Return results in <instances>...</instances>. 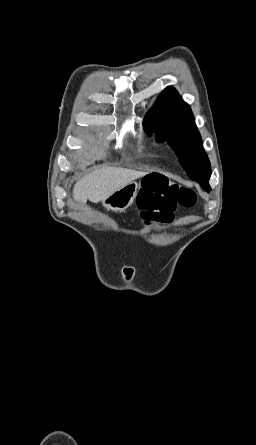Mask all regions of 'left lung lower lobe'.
Returning <instances> with one entry per match:
<instances>
[{"instance_id":"obj_1","label":"left lung lower lobe","mask_w":256,"mask_h":445,"mask_svg":"<svg viewBox=\"0 0 256 445\" xmlns=\"http://www.w3.org/2000/svg\"><path fill=\"white\" fill-rule=\"evenodd\" d=\"M199 183L201 184V186H202L206 191H210V190H211L208 181H200Z\"/></svg>"}]
</instances>
